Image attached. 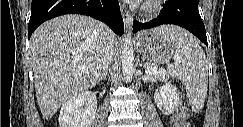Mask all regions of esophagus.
Masks as SVG:
<instances>
[{"label":"esophagus","instance_id":"1","mask_svg":"<svg viewBox=\"0 0 243 127\" xmlns=\"http://www.w3.org/2000/svg\"><path fill=\"white\" fill-rule=\"evenodd\" d=\"M120 6H121V14H122L124 25L126 28H130L133 22V17L124 4L121 3Z\"/></svg>","mask_w":243,"mask_h":127}]
</instances>
